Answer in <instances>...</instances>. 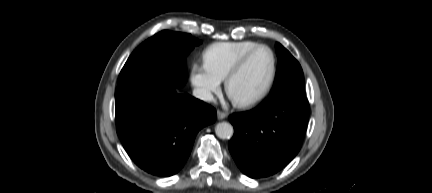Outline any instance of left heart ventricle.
I'll list each match as a JSON object with an SVG mask.
<instances>
[{"mask_svg":"<svg viewBox=\"0 0 432 193\" xmlns=\"http://www.w3.org/2000/svg\"><path fill=\"white\" fill-rule=\"evenodd\" d=\"M272 69V56L267 49L255 52L243 69L233 78L230 94L245 100L258 95L266 86Z\"/></svg>","mask_w":432,"mask_h":193,"instance_id":"left-heart-ventricle-1","label":"left heart ventricle"}]
</instances>
